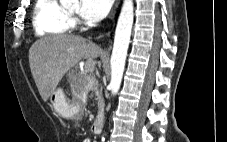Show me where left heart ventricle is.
<instances>
[{
	"label": "left heart ventricle",
	"instance_id": "obj_1",
	"mask_svg": "<svg viewBox=\"0 0 227 142\" xmlns=\"http://www.w3.org/2000/svg\"><path fill=\"white\" fill-rule=\"evenodd\" d=\"M68 10L71 11V12H78V10H79V4L78 3H75Z\"/></svg>",
	"mask_w": 227,
	"mask_h": 142
}]
</instances>
